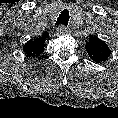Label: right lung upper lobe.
Instances as JSON below:
<instances>
[{
	"mask_svg": "<svg viewBox=\"0 0 118 118\" xmlns=\"http://www.w3.org/2000/svg\"><path fill=\"white\" fill-rule=\"evenodd\" d=\"M48 32L45 31L41 38L28 41L24 47V52L31 57H36L44 51V42L48 38Z\"/></svg>",
	"mask_w": 118,
	"mask_h": 118,
	"instance_id": "cb5924a9",
	"label": "right lung upper lobe"
}]
</instances>
